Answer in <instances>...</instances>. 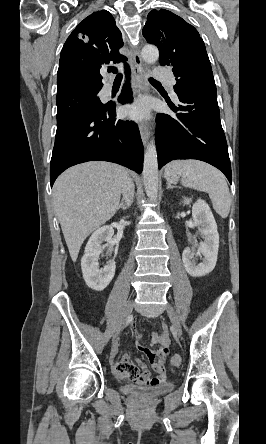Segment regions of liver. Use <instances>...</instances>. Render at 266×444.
<instances>
[{
	"mask_svg": "<svg viewBox=\"0 0 266 444\" xmlns=\"http://www.w3.org/2000/svg\"><path fill=\"white\" fill-rule=\"evenodd\" d=\"M127 170L109 162H87L62 173L53 201L73 262L86 237L114 216Z\"/></svg>",
	"mask_w": 266,
	"mask_h": 444,
	"instance_id": "6515ba94",
	"label": "liver"
}]
</instances>
